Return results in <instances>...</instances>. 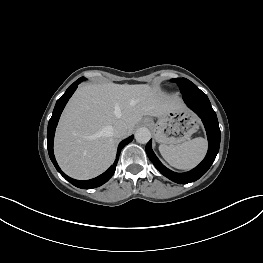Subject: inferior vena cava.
<instances>
[{
	"label": "inferior vena cava",
	"instance_id": "obj_1",
	"mask_svg": "<svg viewBox=\"0 0 263 263\" xmlns=\"http://www.w3.org/2000/svg\"><path fill=\"white\" fill-rule=\"evenodd\" d=\"M111 129L113 136L117 138H121L126 135V125L122 122H117Z\"/></svg>",
	"mask_w": 263,
	"mask_h": 263
}]
</instances>
